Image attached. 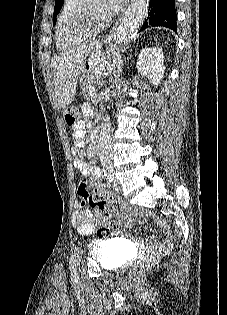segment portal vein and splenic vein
I'll list each match as a JSON object with an SVG mask.
<instances>
[{
	"label": "portal vein and splenic vein",
	"instance_id": "obj_1",
	"mask_svg": "<svg viewBox=\"0 0 227 315\" xmlns=\"http://www.w3.org/2000/svg\"><path fill=\"white\" fill-rule=\"evenodd\" d=\"M91 95H92V96L96 95V90H95V89H92V90H91Z\"/></svg>",
	"mask_w": 227,
	"mask_h": 315
}]
</instances>
